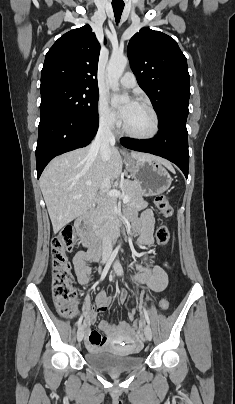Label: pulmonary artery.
I'll return each mask as SVG.
<instances>
[{
  "label": "pulmonary artery",
  "instance_id": "obj_1",
  "mask_svg": "<svg viewBox=\"0 0 235 404\" xmlns=\"http://www.w3.org/2000/svg\"><path fill=\"white\" fill-rule=\"evenodd\" d=\"M121 87L129 89L136 85L135 75L131 72H126L119 80Z\"/></svg>",
  "mask_w": 235,
  "mask_h": 404
}]
</instances>
